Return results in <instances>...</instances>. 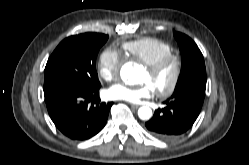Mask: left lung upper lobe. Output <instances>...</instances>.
<instances>
[{
  "label": "left lung upper lobe",
  "mask_w": 249,
  "mask_h": 165,
  "mask_svg": "<svg viewBox=\"0 0 249 165\" xmlns=\"http://www.w3.org/2000/svg\"><path fill=\"white\" fill-rule=\"evenodd\" d=\"M174 37L180 46L182 67L174 94L187 90L206 89V69L204 58L195 42L180 32H174Z\"/></svg>",
  "instance_id": "obj_1"
}]
</instances>
